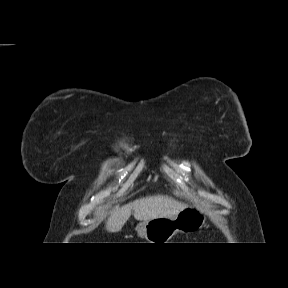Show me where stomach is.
<instances>
[{
	"label": "stomach",
	"instance_id": "stomach-1",
	"mask_svg": "<svg viewBox=\"0 0 288 288\" xmlns=\"http://www.w3.org/2000/svg\"><path fill=\"white\" fill-rule=\"evenodd\" d=\"M205 221V210L198 205H191L173 217H157L143 221L137 225L136 231L149 243H168L178 232L190 233L201 229Z\"/></svg>",
	"mask_w": 288,
	"mask_h": 288
}]
</instances>
